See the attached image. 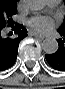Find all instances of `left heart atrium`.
Segmentation results:
<instances>
[{
    "label": "left heart atrium",
    "mask_w": 65,
    "mask_h": 89,
    "mask_svg": "<svg viewBox=\"0 0 65 89\" xmlns=\"http://www.w3.org/2000/svg\"><path fill=\"white\" fill-rule=\"evenodd\" d=\"M27 25L31 31L38 34H45L52 29L54 21L49 17L36 16L29 19Z\"/></svg>",
    "instance_id": "39dd6f15"
}]
</instances>
